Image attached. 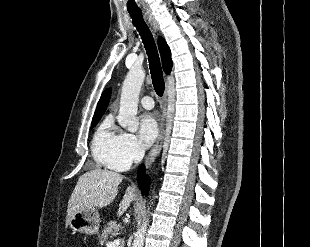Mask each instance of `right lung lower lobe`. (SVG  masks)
Returning a JSON list of instances; mask_svg holds the SVG:
<instances>
[{"label": "right lung lower lobe", "mask_w": 310, "mask_h": 247, "mask_svg": "<svg viewBox=\"0 0 310 247\" xmlns=\"http://www.w3.org/2000/svg\"><path fill=\"white\" fill-rule=\"evenodd\" d=\"M138 185L144 195H148L150 187V178L145 175V168L141 166L138 171Z\"/></svg>", "instance_id": "right-lung-lower-lobe-1"}]
</instances>
